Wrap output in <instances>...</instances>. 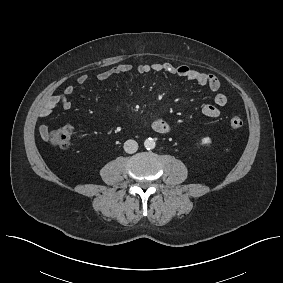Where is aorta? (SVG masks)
Here are the masks:
<instances>
[{
  "label": "aorta",
  "mask_w": 283,
  "mask_h": 283,
  "mask_svg": "<svg viewBox=\"0 0 283 283\" xmlns=\"http://www.w3.org/2000/svg\"><path fill=\"white\" fill-rule=\"evenodd\" d=\"M155 145H156V143H155L154 139H152V138H148L144 141V146L147 150L154 149Z\"/></svg>",
  "instance_id": "1"
}]
</instances>
